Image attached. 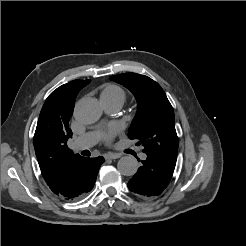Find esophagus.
I'll list each match as a JSON object with an SVG mask.
<instances>
[{
  "mask_svg": "<svg viewBox=\"0 0 246 246\" xmlns=\"http://www.w3.org/2000/svg\"><path fill=\"white\" fill-rule=\"evenodd\" d=\"M120 157H121V154H118V153H111V152L106 153V154L104 155V158H105V159H118V158H120Z\"/></svg>",
  "mask_w": 246,
  "mask_h": 246,
  "instance_id": "1",
  "label": "esophagus"
}]
</instances>
